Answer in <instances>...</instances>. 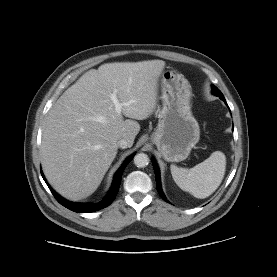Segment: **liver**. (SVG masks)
Returning a JSON list of instances; mask_svg holds the SVG:
<instances>
[{
  "label": "liver",
  "instance_id": "6515ba94",
  "mask_svg": "<svg viewBox=\"0 0 277 277\" xmlns=\"http://www.w3.org/2000/svg\"><path fill=\"white\" fill-rule=\"evenodd\" d=\"M165 61L115 62L84 73L54 103L41 145L43 172L62 196L80 200L96 191L116 157L117 142L130 147L140 124L156 109ZM123 106L117 113L110 95ZM123 115L130 119L124 120Z\"/></svg>",
  "mask_w": 277,
  "mask_h": 277
}]
</instances>
